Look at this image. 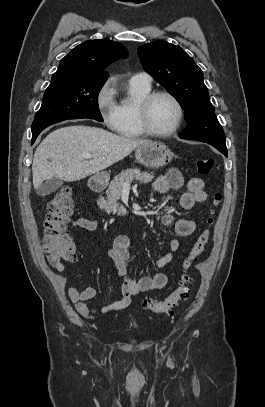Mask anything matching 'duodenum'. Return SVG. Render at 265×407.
Returning <instances> with one entry per match:
<instances>
[{"label": "duodenum", "instance_id": "1", "mask_svg": "<svg viewBox=\"0 0 265 407\" xmlns=\"http://www.w3.org/2000/svg\"><path fill=\"white\" fill-rule=\"evenodd\" d=\"M90 186L94 191H101L104 187V185L96 179L91 180Z\"/></svg>", "mask_w": 265, "mask_h": 407}]
</instances>
